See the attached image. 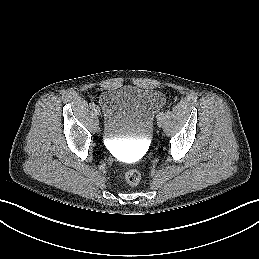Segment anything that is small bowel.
I'll use <instances>...</instances> for the list:
<instances>
[{
    "label": "small bowel",
    "instance_id": "obj_1",
    "mask_svg": "<svg viewBox=\"0 0 259 259\" xmlns=\"http://www.w3.org/2000/svg\"><path fill=\"white\" fill-rule=\"evenodd\" d=\"M159 97H160V105L159 106H161V104H162V98H161V96L159 95Z\"/></svg>",
    "mask_w": 259,
    "mask_h": 259
}]
</instances>
